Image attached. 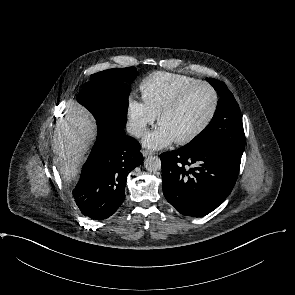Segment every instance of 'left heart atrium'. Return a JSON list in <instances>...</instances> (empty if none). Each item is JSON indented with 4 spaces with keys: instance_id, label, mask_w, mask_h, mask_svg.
Returning <instances> with one entry per match:
<instances>
[{
    "instance_id": "39dd6f15",
    "label": "left heart atrium",
    "mask_w": 295,
    "mask_h": 295,
    "mask_svg": "<svg viewBox=\"0 0 295 295\" xmlns=\"http://www.w3.org/2000/svg\"><path fill=\"white\" fill-rule=\"evenodd\" d=\"M174 141H176L174 134L162 124L143 137V144L151 149L164 148Z\"/></svg>"
}]
</instances>
